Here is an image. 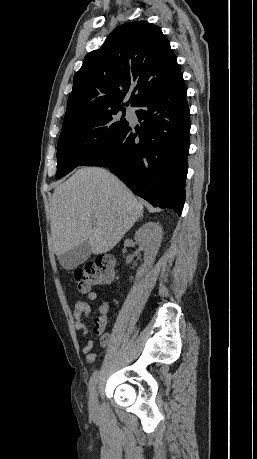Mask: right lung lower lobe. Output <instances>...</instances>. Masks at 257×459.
Instances as JSON below:
<instances>
[{
	"mask_svg": "<svg viewBox=\"0 0 257 459\" xmlns=\"http://www.w3.org/2000/svg\"><path fill=\"white\" fill-rule=\"evenodd\" d=\"M135 106L141 128L129 125L106 150L80 166L108 167L154 207L181 215L185 201L190 118L181 73Z\"/></svg>",
	"mask_w": 257,
	"mask_h": 459,
	"instance_id": "right-lung-lower-lobe-1",
	"label": "right lung lower lobe"
}]
</instances>
